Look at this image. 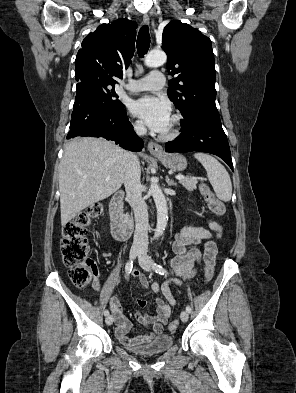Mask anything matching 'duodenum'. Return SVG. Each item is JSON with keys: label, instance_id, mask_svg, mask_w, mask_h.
I'll return each instance as SVG.
<instances>
[{"label": "duodenum", "instance_id": "obj_1", "mask_svg": "<svg viewBox=\"0 0 296 393\" xmlns=\"http://www.w3.org/2000/svg\"><path fill=\"white\" fill-rule=\"evenodd\" d=\"M124 193L119 191L112 197L109 206L111 230L115 240L125 241L131 235V226L123 214Z\"/></svg>", "mask_w": 296, "mask_h": 393}]
</instances>
